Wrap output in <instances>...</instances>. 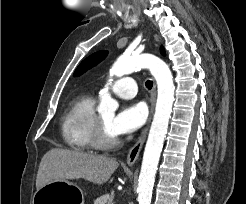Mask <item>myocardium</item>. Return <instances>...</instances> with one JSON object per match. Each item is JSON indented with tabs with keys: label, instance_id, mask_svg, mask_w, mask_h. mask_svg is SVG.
<instances>
[{
	"label": "myocardium",
	"instance_id": "obj_1",
	"mask_svg": "<svg viewBox=\"0 0 246 204\" xmlns=\"http://www.w3.org/2000/svg\"><path fill=\"white\" fill-rule=\"evenodd\" d=\"M92 143L95 148L109 150L117 147L120 140L117 136H109L100 115H96Z\"/></svg>",
	"mask_w": 246,
	"mask_h": 204
}]
</instances>
